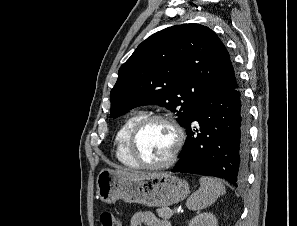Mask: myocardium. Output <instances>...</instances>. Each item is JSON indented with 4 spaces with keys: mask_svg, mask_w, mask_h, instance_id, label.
I'll use <instances>...</instances> for the list:
<instances>
[{
    "mask_svg": "<svg viewBox=\"0 0 297 226\" xmlns=\"http://www.w3.org/2000/svg\"><path fill=\"white\" fill-rule=\"evenodd\" d=\"M154 121H161L171 126V128L175 133L176 140L170 156L165 161L158 164H149L144 162L139 156L136 149V143H137L138 135L141 132V130L147 124ZM184 142H185V133L181 125L178 123V121L170 115L156 113V114L145 115L135 123V125L132 127L130 131L128 141H127V147H128V152L130 156L138 165V167L143 169H148V170H161V169L171 167L176 163L182 151Z\"/></svg>",
    "mask_w": 297,
    "mask_h": 226,
    "instance_id": "f54148a6",
    "label": "myocardium"
}]
</instances>
